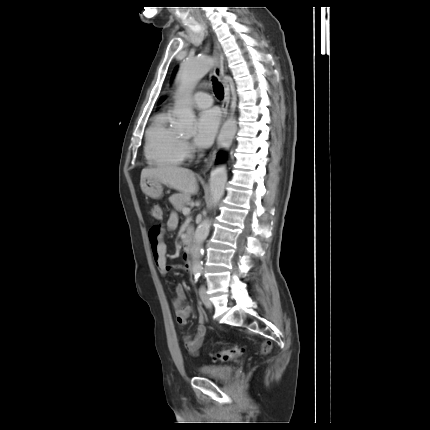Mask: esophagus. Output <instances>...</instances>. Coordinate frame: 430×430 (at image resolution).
<instances>
[{
  "label": "esophagus",
  "instance_id": "34e87169",
  "mask_svg": "<svg viewBox=\"0 0 430 430\" xmlns=\"http://www.w3.org/2000/svg\"><path fill=\"white\" fill-rule=\"evenodd\" d=\"M214 59H215V65H214V69H213V73L214 75L222 82L223 86H224V99L222 102V121H224L228 115V107H229V102H230V89H229V85L227 84L226 80H225V72H224V57H223V53H222V49L220 44L214 40ZM216 149H214L212 151V153L209 155V157L206 159L205 161V165L203 168V171L206 172L208 171L216 158Z\"/></svg>",
  "mask_w": 430,
  "mask_h": 430
}]
</instances>
